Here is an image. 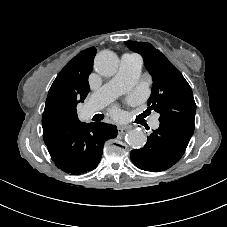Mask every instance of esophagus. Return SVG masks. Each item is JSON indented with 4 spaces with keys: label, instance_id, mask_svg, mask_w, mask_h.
Listing matches in <instances>:
<instances>
[{
    "label": "esophagus",
    "instance_id": "34e87169",
    "mask_svg": "<svg viewBox=\"0 0 227 227\" xmlns=\"http://www.w3.org/2000/svg\"><path fill=\"white\" fill-rule=\"evenodd\" d=\"M129 127L127 126H118V133L125 134L128 131Z\"/></svg>",
    "mask_w": 227,
    "mask_h": 227
}]
</instances>
